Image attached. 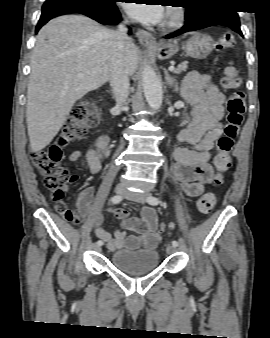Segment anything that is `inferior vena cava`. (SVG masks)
Returning a JSON list of instances; mask_svg holds the SVG:
<instances>
[{
	"label": "inferior vena cava",
	"mask_w": 270,
	"mask_h": 338,
	"mask_svg": "<svg viewBox=\"0 0 270 338\" xmlns=\"http://www.w3.org/2000/svg\"><path fill=\"white\" fill-rule=\"evenodd\" d=\"M127 27L124 23L111 33L110 85L117 106H121L129 95V78L124 65V49L127 40Z\"/></svg>",
	"instance_id": "1"
}]
</instances>
